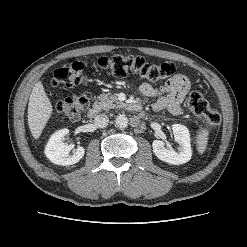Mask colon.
Segmentation results:
<instances>
[{
  "label": "colon",
  "mask_w": 247,
  "mask_h": 247,
  "mask_svg": "<svg viewBox=\"0 0 247 247\" xmlns=\"http://www.w3.org/2000/svg\"><path fill=\"white\" fill-rule=\"evenodd\" d=\"M94 69L109 76L124 78L135 74L141 79L157 82L166 79L173 71V65L168 63L153 64L141 56L115 55L102 56L93 65ZM89 77L84 72V64L73 62L58 68L52 78V86L69 89L76 85H88ZM90 93L85 91L59 100L56 111L64 118L77 119L89 107ZM189 109L204 118L210 128H216L221 123V116L212 110L207 100L198 92H192L187 101Z\"/></svg>",
  "instance_id": "1"
}]
</instances>
